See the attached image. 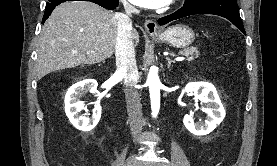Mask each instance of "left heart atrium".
<instances>
[{"label": "left heart atrium", "instance_id": "1", "mask_svg": "<svg viewBox=\"0 0 277 166\" xmlns=\"http://www.w3.org/2000/svg\"><path fill=\"white\" fill-rule=\"evenodd\" d=\"M130 1L137 6L149 8V9L162 8L171 2V0H130Z\"/></svg>", "mask_w": 277, "mask_h": 166}]
</instances>
